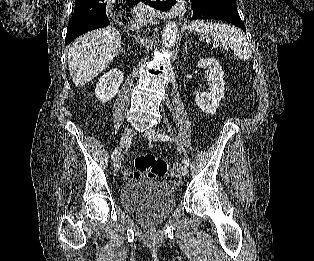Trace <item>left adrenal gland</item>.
Wrapping results in <instances>:
<instances>
[{
	"mask_svg": "<svg viewBox=\"0 0 314 261\" xmlns=\"http://www.w3.org/2000/svg\"><path fill=\"white\" fill-rule=\"evenodd\" d=\"M187 49H188V44H187V42H185L184 52H187Z\"/></svg>",
	"mask_w": 314,
	"mask_h": 261,
	"instance_id": "1",
	"label": "left adrenal gland"
}]
</instances>
